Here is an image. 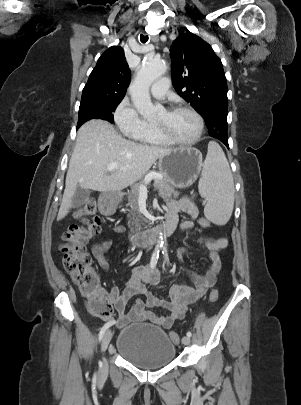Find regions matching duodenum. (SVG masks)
<instances>
[{
	"mask_svg": "<svg viewBox=\"0 0 301 405\" xmlns=\"http://www.w3.org/2000/svg\"><path fill=\"white\" fill-rule=\"evenodd\" d=\"M123 192L121 190H105L104 194L99 196V208L104 219H111L113 213H116L117 206L121 204ZM177 226V222L168 219L167 222L160 227H155L151 230L137 233L132 236L131 241L137 247H146L154 244L160 237L171 235Z\"/></svg>",
	"mask_w": 301,
	"mask_h": 405,
	"instance_id": "1",
	"label": "duodenum"
}]
</instances>
